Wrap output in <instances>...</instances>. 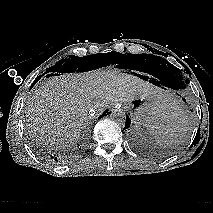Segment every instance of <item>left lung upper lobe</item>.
Masks as SVG:
<instances>
[{
    "label": "left lung upper lobe",
    "instance_id": "left-lung-upper-lobe-1",
    "mask_svg": "<svg viewBox=\"0 0 213 213\" xmlns=\"http://www.w3.org/2000/svg\"><path fill=\"white\" fill-rule=\"evenodd\" d=\"M138 69L149 74L167 77L175 86V90H182L188 84L184 80L182 72L177 67L170 64L167 60L153 54H139L136 60Z\"/></svg>",
    "mask_w": 213,
    "mask_h": 213
}]
</instances>
